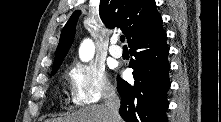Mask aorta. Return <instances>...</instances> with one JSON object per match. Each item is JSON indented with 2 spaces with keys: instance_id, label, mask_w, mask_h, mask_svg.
<instances>
[{
  "instance_id": "aorta-1",
  "label": "aorta",
  "mask_w": 221,
  "mask_h": 122,
  "mask_svg": "<svg viewBox=\"0 0 221 122\" xmlns=\"http://www.w3.org/2000/svg\"><path fill=\"white\" fill-rule=\"evenodd\" d=\"M79 55L82 61H89L94 55V43L91 39H85L79 50Z\"/></svg>"
}]
</instances>
